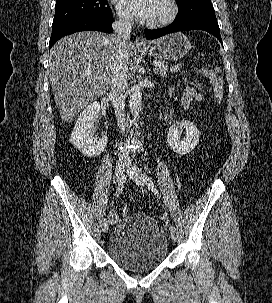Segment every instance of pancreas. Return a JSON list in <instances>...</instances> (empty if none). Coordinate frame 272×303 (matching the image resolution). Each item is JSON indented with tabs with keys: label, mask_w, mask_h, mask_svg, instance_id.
Wrapping results in <instances>:
<instances>
[{
	"label": "pancreas",
	"mask_w": 272,
	"mask_h": 303,
	"mask_svg": "<svg viewBox=\"0 0 272 303\" xmlns=\"http://www.w3.org/2000/svg\"><path fill=\"white\" fill-rule=\"evenodd\" d=\"M156 66L159 67V74L161 77L167 76L168 64L163 61H157Z\"/></svg>",
	"instance_id": "obj_1"
}]
</instances>
